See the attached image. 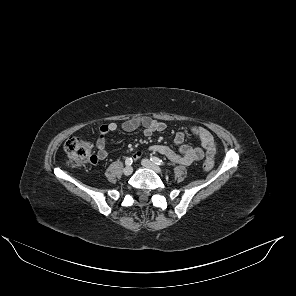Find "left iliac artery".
<instances>
[{
  "label": "left iliac artery",
  "instance_id": "44dca946",
  "mask_svg": "<svg viewBox=\"0 0 296 296\" xmlns=\"http://www.w3.org/2000/svg\"><path fill=\"white\" fill-rule=\"evenodd\" d=\"M150 160L160 166H163L165 164L160 158L155 156L151 157Z\"/></svg>",
  "mask_w": 296,
  "mask_h": 296
}]
</instances>
